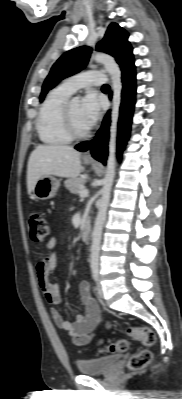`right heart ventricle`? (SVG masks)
<instances>
[{
  "instance_id": "1",
  "label": "right heart ventricle",
  "mask_w": 182,
  "mask_h": 399,
  "mask_svg": "<svg viewBox=\"0 0 182 399\" xmlns=\"http://www.w3.org/2000/svg\"><path fill=\"white\" fill-rule=\"evenodd\" d=\"M71 93L60 86L53 89L41 105L37 132L42 142L49 145H62L71 141L63 123V110Z\"/></svg>"
}]
</instances>
